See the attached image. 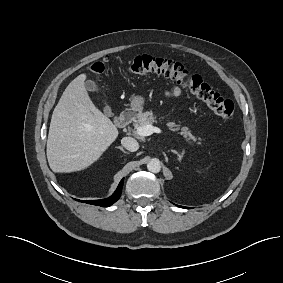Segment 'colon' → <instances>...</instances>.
<instances>
[{"label": "colon", "mask_w": 283, "mask_h": 283, "mask_svg": "<svg viewBox=\"0 0 283 283\" xmlns=\"http://www.w3.org/2000/svg\"><path fill=\"white\" fill-rule=\"evenodd\" d=\"M104 69V62H96L89 67V72L99 75ZM127 71L134 75L149 73L164 75L189 89L218 116L224 119H230L234 116L235 106L230 100L224 99L200 76L190 74L182 64L176 61L147 55L138 56L129 62ZM98 96H103L102 92H98Z\"/></svg>", "instance_id": "1"}]
</instances>
